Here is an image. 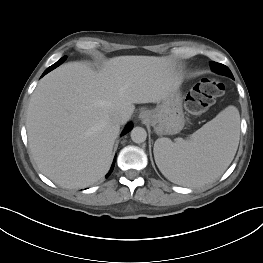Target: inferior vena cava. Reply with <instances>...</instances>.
<instances>
[{"label":"inferior vena cava","instance_id":"inferior-vena-cava-1","mask_svg":"<svg viewBox=\"0 0 263 263\" xmlns=\"http://www.w3.org/2000/svg\"><path fill=\"white\" fill-rule=\"evenodd\" d=\"M128 120V116L123 113H117L113 116V121L118 124H124Z\"/></svg>","mask_w":263,"mask_h":263}]
</instances>
